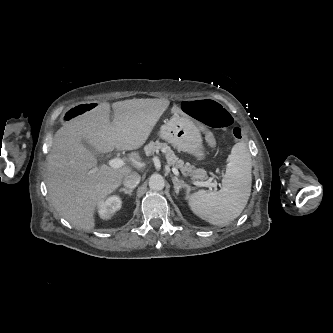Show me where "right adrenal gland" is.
Instances as JSON below:
<instances>
[{
  "label": "right adrenal gland",
  "mask_w": 333,
  "mask_h": 333,
  "mask_svg": "<svg viewBox=\"0 0 333 333\" xmlns=\"http://www.w3.org/2000/svg\"><path fill=\"white\" fill-rule=\"evenodd\" d=\"M120 192H124L125 194H128L129 196L132 195L133 190L132 189H126V188H120Z\"/></svg>",
  "instance_id": "1"
}]
</instances>
